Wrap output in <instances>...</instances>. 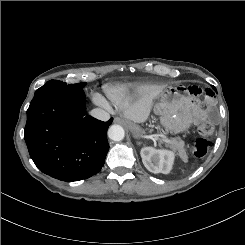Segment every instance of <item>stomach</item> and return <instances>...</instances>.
Returning a JSON list of instances; mask_svg holds the SVG:
<instances>
[{"mask_svg": "<svg viewBox=\"0 0 245 245\" xmlns=\"http://www.w3.org/2000/svg\"><path fill=\"white\" fill-rule=\"evenodd\" d=\"M154 103L153 111L160 117V122L166 131L172 133L187 130L193 121V112L189 103V97L181 86H169L163 88ZM134 137L145 134L144 129L135 123H128Z\"/></svg>", "mask_w": 245, "mask_h": 245, "instance_id": "stomach-1", "label": "stomach"}]
</instances>
